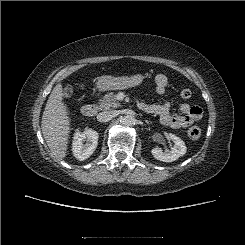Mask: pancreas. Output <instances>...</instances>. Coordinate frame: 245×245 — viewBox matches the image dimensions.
I'll list each match as a JSON object with an SVG mask.
<instances>
[{"label":"pancreas","instance_id":"cf45deb5","mask_svg":"<svg viewBox=\"0 0 245 245\" xmlns=\"http://www.w3.org/2000/svg\"><path fill=\"white\" fill-rule=\"evenodd\" d=\"M98 108L100 110L115 109L120 106L119 101L114 93L110 92L103 96L98 103Z\"/></svg>","mask_w":245,"mask_h":245}]
</instances>
